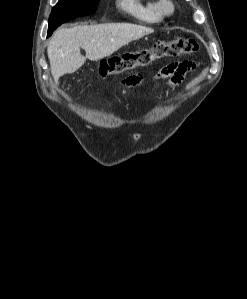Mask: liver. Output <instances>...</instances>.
Instances as JSON below:
<instances>
[{
	"instance_id": "obj_1",
	"label": "liver",
	"mask_w": 247,
	"mask_h": 299,
	"mask_svg": "<svg viewBox=\"0 0 247 299\" xmlns=\"http://www.w3.org/2000/svg\"><path fill=\"white\" fill-rule=\"evenodd\" d=\"M154 30L129 23H104L62 28L51 38L47 53L51 73L55 81L74 73L86 61H98L108 57L131 41L138 40ZM80 48L86 52L81 55Z\"/></svg>"
}]
</instances>
